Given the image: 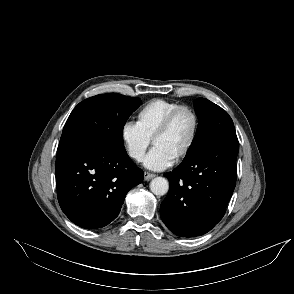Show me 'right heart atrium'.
Wrapping results in <instances>:
<instances>
[{"label": "right heart atrium", "instance_id": "obj_1", "mask_svg": "<svg viewBox=\"0 0 294 294\" xmlns=\"http://www.w3.org/2000/svg\"><path fill=\"white\" fill-rule=\"evenodd\" d=\"M120 138L127 155L134 161L140 162L148 149L151 139L133 121L123 123Z\"/></svg>", "mask_w": 294, "mask_h": 294}]
</instances>
